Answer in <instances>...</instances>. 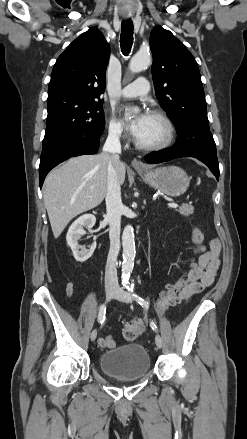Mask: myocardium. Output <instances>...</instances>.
Here are the masks:
<instances>
[{"mask_svg":"<svg viewBox=\"0 0 247 439\" xmlns=\"http://www.w3.org/2000/svg\"><path fill=\"white\" fill-rule=\"evenodd\" d=\"M149 115L160 119L165 125V129H166L165 139L160 143L152 144V145L142 144L136 139L135 140L136 146L144 151H160L170 147L174 142L176 135L175 126L172 120L166 113L160 110H152L150 111Z\"/></svg>","mask_w":247,"mask_h":439,"instance_id":"obj_1","label":"myocardium"}]
</instances>
